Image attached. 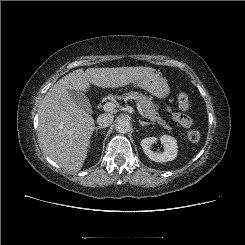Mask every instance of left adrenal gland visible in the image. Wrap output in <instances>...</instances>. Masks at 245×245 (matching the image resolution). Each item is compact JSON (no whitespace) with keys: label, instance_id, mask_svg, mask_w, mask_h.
<instances>
[{"label":"left adrenal gland","instance_id":"1","mask_svg":"<svg viewBox=\"0 0 245 245\" xmlns=\"http://www.w3.org/2000/svg\"><path fill=\"white\" fill-rule=\"evenodd\" d=\"M138 122H139L142 126H146V125L152 124V123L144 122V121H141V120H139Z\"/></svg>","mask_w":245,"mask_h":245}]
</instances>
